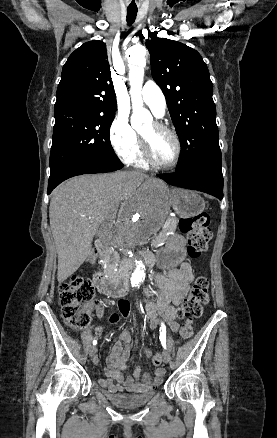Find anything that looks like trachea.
<instances>
[{
    "label": "trachea",
    "instance_id": "obj_1",
    "mask_svg": "<svg viewBox=\"0 0 277 438\" xmlns=\"http://www.w3.org/2000/svg\"><path fill=\"white\" fill-rule=\"evenodd\" d=\"M137 7H128L127 8V23L129 25H132L136 19L137 15Z\"/></svg>",
    "mask_w": 277,
    "mask_h": 438
}]
</instances>
